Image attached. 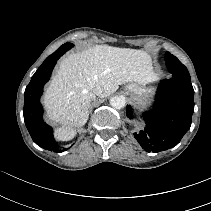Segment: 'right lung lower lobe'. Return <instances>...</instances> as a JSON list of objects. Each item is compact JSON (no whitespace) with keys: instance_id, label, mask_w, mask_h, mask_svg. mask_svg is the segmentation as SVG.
<instances>
[{"instance_id":"right-lung-lower-lobe-1","label":"right lung lower lobe","mask_w":211,"mask_h":211,"mask_svg":"<svg viewBox=\"0 0 211 211\" xmlns=\"http://www.w3.org/2000/svg\"><path fill=\"white\" fill-rule=\"evenodd\" d=\"M58 59L56 56L51 61L43 63L32 76L24 93L23 113L26 127L38 146L50 151L63 152L66 149H61L53 138L52 128L43 121V109L40 104L43 86L49 80Z\"/></svg>"}]
</instances>
